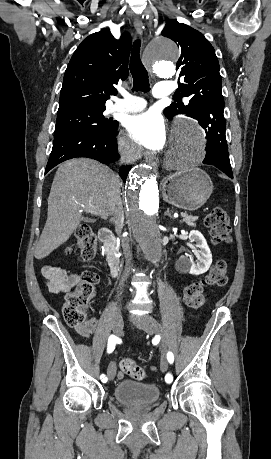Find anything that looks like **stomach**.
I'll use <instances>...</instances> for the list:
<instances>
[{
    "mask_svg": "<svg viewBox=\"0 0 271 459\" xmlns=\"http://www.w3.org/2000/svg\"><path fill=\"white\" fill-rule=\"evenodd\" d=\"M213 192V184L206 172L190 168L168 176L162 184L165 202L183 210H198Z\"/></svg>",
    "mask_w": 271,
    "mask_h": 459,
    "instance_id": "obj_1",
    "label": "stomach"
}]
</instances>
